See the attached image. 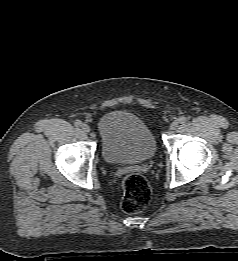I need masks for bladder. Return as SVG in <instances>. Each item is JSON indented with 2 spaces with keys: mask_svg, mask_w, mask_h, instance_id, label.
Listing matches in <instances>:
<instances>
[{
  "mask_svg": "<svg viewBox=\"0 0 238 261\" xmlns=\"http://www.w3.org/2000/svg\"><path fill=\"white\" fill-rule=\"evenodd\" d=\"M101 153L110 164H137L151 159L157 150L149 127L136 115L111 111L98 122Z\"/></svg>",
  "mask_w": 238,
  "mask_h": 261,
  "instance_id": "obj_1",
  "label": "bladder"
}]
</instances>
